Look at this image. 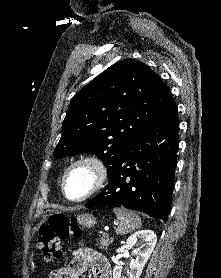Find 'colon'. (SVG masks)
<instances>
[{"label": "colon", "mask_w": 221, "mask_h": 278, "mask_svg": "<svg viewBox=\"0 0 221 278\" xmlns=\"http://www.w3.org/2000/svg\"><path fill=\"white\" fill-rule=\"evenodd\" d=\"M80 233L81 228L75 218L69 219L64 215L55 214L40 226L37 247L41 250L45 261L54 262L64 254L61 241L69 236H79ZM58 273V270L53 271V275Z\"/></svg>", "instance_id": "colon-1"}]
</instances>
